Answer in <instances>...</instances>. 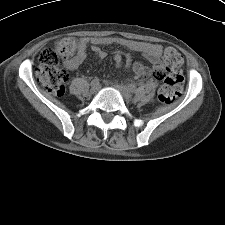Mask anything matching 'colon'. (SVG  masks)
Masks as SVG:
<instances>
[{
    "mask_svg": "<svg viewBox=\"0 0 225 225\" xmlns=\"http://www.w3.org/2000/svg\"><path fill=\"white\" fill-rule=\"evenodd\" d=\"M75 50V40L68 37L58 40L54 46L45 48L41 52L36 74L42 86L51 95L64 94L68 79L64 64L74 61ZM183 61V56L177 50L169 48L163 54L162 63L152 70L153 77L163 81L157 93V101L160 104H171L183 92L184 78L177 71Z\"/></svg>",
    "mask_w": 225,
    "mask_h": 225,
    "instance_id": "1",
    "label": "colon"
}]
</instances>
